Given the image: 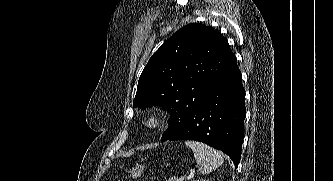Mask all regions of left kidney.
Masks as SVG:
<instances>
[{"instance_id": "obj_1", "label": "left kidney", "mask_w": 333, "mask_h": 181, "mask_svg": "<svg viewBox=\"0 0 333 181\" xmlns=\"http://www.w3.org/2000/svg\"><path fill=\"white\" fill-rule=\"evenodd\" d=\"M199 181V180H198ZM200 181H209V180H205V179H203V180H200Z\"/></svg>"}]
</instances>
